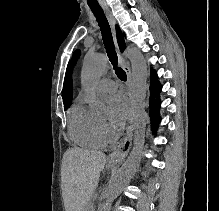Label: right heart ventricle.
<instances>
[{"label": "right heart ventricle", "mask_w": 219, "mask_h": 211, "mask_svg": "<svg viewBox=\"0 0 219 211\" xmlns=\"http://www.w3.org/2000/svg\"><path fill=\"white\" fill-rule=\"evenodd\" d=\"M69 134L77 144L84 147L100 148L105 144L100 122L90 116L83 103H77L71 108Z\"/></svg>", "instance_id": "obj_1"}]
</instances>
